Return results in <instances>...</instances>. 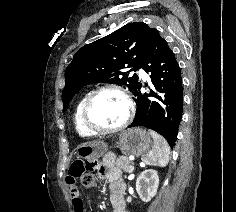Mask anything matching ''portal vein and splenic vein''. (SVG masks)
Here are the masks:
<instances>
[{
  "label": "portal vein and splenic vein",
  "instance_id": "18ae733b",
  "mask_svg": "<svg viewBox=\"0 0 236 212\" xmlns=\"http://www.w3.org/2000/svg\"><path fill=\"white\" fill-rule=\"evenodd\" d=\"M131 160H133L134 158H130ZM131 170H134V166H131Z\"/></svg>",
  "mask_w": 236,
  "mask_h": 212
}]
</instances>
